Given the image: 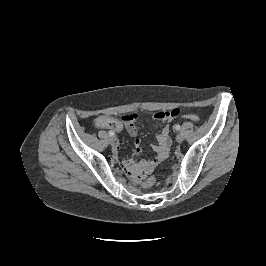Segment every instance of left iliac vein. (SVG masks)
Returning a JSON list of instances; mask_svg holds the SVG:
<instances>
[{
  "label": "left iliac vein",
  "instance_id": "4c4485c4",
  "mask_svg": "<svg viewBox=\"0 0 266 266\" xmlns=\"http://www.w3.org/2000/svg\"><path fill=\"white\" fill-rule=\"evenodd\" d=\"M183 140H184V137H183L182 134H178V135L176 136V141H177L178 143H182Z\"/></svg>",
  "mask_w": 266,
  "mask_h": 266
}]
</instances>
